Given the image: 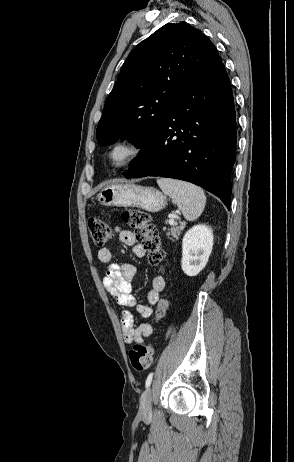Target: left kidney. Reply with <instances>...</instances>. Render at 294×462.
<instances>
[{"label":"left kidney","instance_id":"1","mask_svg":"<svg viewBox=\"0 0 294 462\" xmlns=\"http://www.w3.org/2000/svg\"><path fill=\"white\" fill-rule=\"evenodd\" d=\"M212 229L204 224L190 228L182 240L181 268L188 276H196L207 264L213 247Z\"/></svg>","mask_w":294,"mask_h":462}]
</instances>
